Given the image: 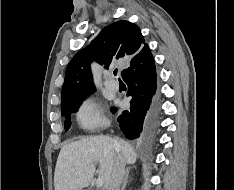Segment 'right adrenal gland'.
Segmentation results:
<instances>
[{
	"label": "right adrenal gland",
	"instance_id": "right-adrenal-gland-1",
	"mask_svg": "<svg viewBox=\"0 0 234 190\" xmlns=\"http://www.w3.org/2000/svg\"><path fill=\"white\" fill-rule=\"evenodd\" d=\"M129 177V170L126 171L121 190H125Z\"/></svg>",
	"mask_w": 234,
	"mask_h": 190
}]
</instances>
